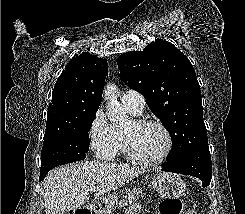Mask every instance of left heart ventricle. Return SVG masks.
I'll return each mask as SVG.
<instances>
[{"label": "left heart ventricle", "instance_id": "1", "mask_svg": "<svg viewBox=\"0 0 245 214\" xmlns=\"http://www.w3.org/2000/svg\"><path fill=\"white\" fill-rule=\"evenodd\" d=\"M124 133L130 137L136 152L147 158L158 156L166 145L164 133L156 126L137 127L132 122Z\"/></svg>", "mask_w": 245, "mask_h": 214}]
</instances>
